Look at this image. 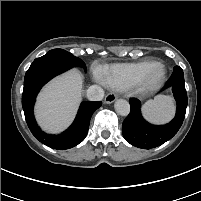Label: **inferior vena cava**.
<instances>
[{
	"instance_id": "inferior-vena-cava-1",
	"label": "inferior vena cava",
	"mask_w": 201,
	"mask_h": 201,
	"mask_svg": "<svg viewBox=\"0 0 201 201\" xmlns=\"http://www.w3.org/2000/svg\"><path fill=\"white\" fill-rule=\"evenodd\" d=\"M86 96L90 101H101L104 97V90L98 85H92L87 89Z\"/></svg>"
}]
</instances>
